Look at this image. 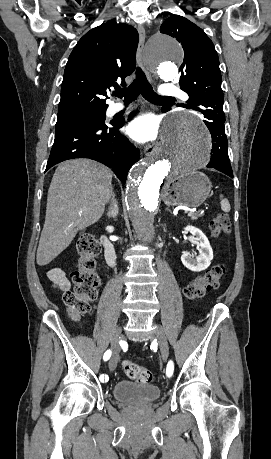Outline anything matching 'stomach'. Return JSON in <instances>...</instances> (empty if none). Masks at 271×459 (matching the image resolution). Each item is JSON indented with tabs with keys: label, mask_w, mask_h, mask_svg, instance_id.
Listing matches in <instances>:
<instances>
[{
	"label": "stomach",
	"mask_w": 271,
	"mask_h": 459,
	"mask_svg": "<svg viewBox=\"0 0 271 459\" xmlns=\"http://www.w3.org/2000/svg\"><path fill=\"white\" fill-rule=\"evenodd\" d=\"M212 184L202 172L174 176L163 186L162 200L168 206L198 208L211 192Z\"/></svg>",
	"instance_id": "obj_1"
}]
</instances>
